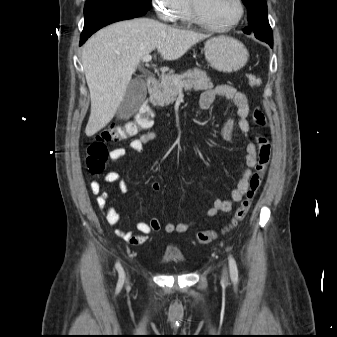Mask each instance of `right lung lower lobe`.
Here are the masks:
<instances>
[{"label": "right lung lower lobe", "mask_w": 337, "mask_h": 337, "mask_svg": "<svg viewBox=\"0 0 337 337\" xmlns=\"http://www.w3.org/2000/svg\"><path fill=\"white\" fill-rule=\"evenodd\" d=\"M148 10H140L119 5L105 6L88 13L81 33L80 46L100 28L120 20L140 17Z\"/></svg>", "instance_id": "obj_1"}]
</instances>
